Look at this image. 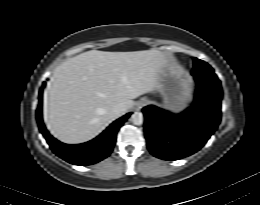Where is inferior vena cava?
Wrapping results in <instances>:
<instances>
[{
  "mask_svg": "<svg viewBox=\"0 0 260 205\" xmlns=\"http://www.w3.org/2000/svg\"><path fill=\"white\" fill-rule=\"evenodd\" d=\"M127 111L126 107L123 105V104H118V105H115L112 110H111V113L114 117H119L123 114H125Z\"/></svg>",
  "mask_w": 260,
  "mask_h": 205,
  "instance_id": "inferior-vena-cava-1",
  "label": "inferior vena cava"
}]
</instances>
